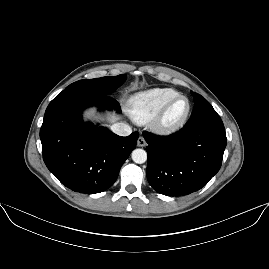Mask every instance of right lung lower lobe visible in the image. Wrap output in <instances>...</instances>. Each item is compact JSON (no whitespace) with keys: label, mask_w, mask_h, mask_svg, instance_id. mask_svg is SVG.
<instances>
[{"label":"right lung lower lobe","mask_w":269,"mask_h":269,"mask_svg":"<svg viewBox=\"0 0 269 269\" xmlns=\"http://www.w3.org/2000/svg\"><path fill=\"white\" fill-rule=\"evenodd\" d=\"M90 106L120 112L119 103L109 95L62 91L48 105L40 129L48 169L69 189L86 194L100 193L113 185L139 137L138 132L121 137L107 128L84 123L82 111Z\"/></svg>","instance_id":"1"}]
</instances>
